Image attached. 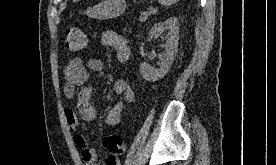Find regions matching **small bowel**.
<instances>
[{"label":"small bowel","instance_id":"c3829d8e","mask_svg":"<svg viewBox=\"0 0 276 165\" xmlns=\"http://www.w3.org/2000/svg\"><path fill=\"white\" fill-rule=\"evenodd\" d=\"M101 44L114 50L117 60L125 64L130 57V47L128 40L122 35L113 31H104L101 34ZM90 72L96 74L104 73V64L100 59L91 58L84 62L81 58L72 59L64 68V94L66 98L72 99L77 90V109L80 117L92 123L96 119V109L92 102L93 88L89 86L88 79ZM118 101L108 110L105 116L107 126H116L119 124L124 104L134 101L135 93L131 86L122 79L115 81L113 85ZM65 117L70 131L73 134V142L78 147L84 165H100L97 162L96 151L90 147L86 139L77 132L79 119L76 112L72 109L65 111ZM104 165H119L116 156L108 155Z\"/></svg>","mask_w":276,"mask_h":165}]
</instances>
